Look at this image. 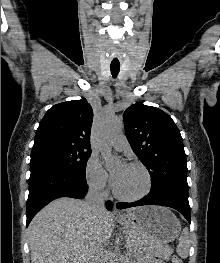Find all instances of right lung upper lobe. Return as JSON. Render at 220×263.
Instances as JSON below:
<instances>
[{"label": "right lung upper lobe", "mask_w": 220, "mask_h": 263, "mask_svg": "<svg viewBox=\"0 0 220 263\" xmlns=\"http://www.w3.org/2000/svg\"><path fill=\"white\" fill-rule=\"evenodd\" d=\"M93 110L85 98L50 108L37 129L32 153L50 148H90Z\"/></svg>", "instance_id": "cb5924a9"}]
</instances>
